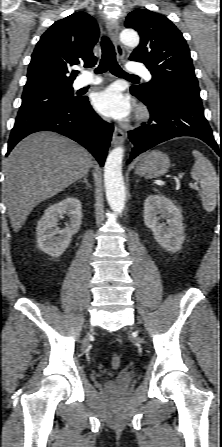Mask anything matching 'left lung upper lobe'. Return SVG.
<instances>
[{"instance_id":"1","label":"left lung upper lobe","mask_w":222,"mask_h":447,"mask_svg":"<svg viewBox=\"0 0 222 447\" xmlns=\"http://www.w3.org/2000/svg\"><path fill=\"white\" fill-rule=\"evenodd\" d=\"M125 26L140 35L130 60L143 62L152 74L149 83L132 86L131 91L152 100L172 90L201 102L190 51L176 26L165 16L144 9L129 13Z\"/></svg>"}]
</instances>
